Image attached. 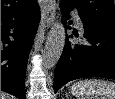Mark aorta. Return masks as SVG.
Segmentation results:
<instances>
[{"label": "aorta", "mask_w": 115, "mask_h": 99, "mask_svg": "<svg viewBox=\"0 0 115 99\" xmlns=\"http://www.w3.org/2000/svg\"><path fill=\"white\" fill-rule=\"evenodd\" d=\"M54 1L50 0V9L54 11L52 3ZM65 28L61 22L56 21L48 34L45 48L43 52V67L44 69L53 68L58 60L60 59L64 46H65Z\"/></svg>", "instance_id": "1"}]
</instances>
